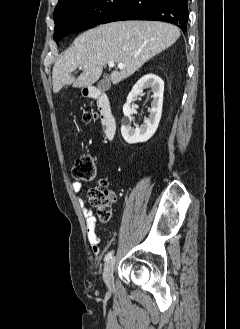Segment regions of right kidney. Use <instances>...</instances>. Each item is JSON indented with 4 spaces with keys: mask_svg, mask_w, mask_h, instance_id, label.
I'll return each instance as SVG.
<instances>
[{
    "mask_svg": "<svg viewBox=\"0 0 240 329\" xmlns=\"http://www.w3.org/2000/svg\"><path fill=\"white\" fill-rule=\"evenodd\" d=\"M144 89H151L153 93L151 108H149L150 114L148 118H145L140 127L136 126V128H134L132 127L134 124V117L132 116L134 109H132L130 105L131 102L135 101L137 97L143 93ZM163 92L164 82L160 77L154 74L143 76L133 86L127 97V101L123 106L124 118L121 121V134L127 143L134 144L138 142H146L154 135L161 119Z\"/></svg>",
    "mask_w": 240,
    "mask_h": 329,
    "instance_id": "1",
    "label": "right kidney"
}]
</instances>
